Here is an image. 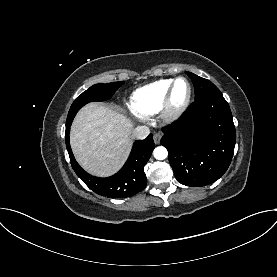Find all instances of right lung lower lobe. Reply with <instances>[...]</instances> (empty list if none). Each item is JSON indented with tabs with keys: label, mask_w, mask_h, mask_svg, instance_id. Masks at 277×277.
I'll use <instances>...</instances> for the list:
<instances>
[{
	"label": "right lung lower lobe",
	"mask_w": 277,
	"mask_h": 277,
	"mask_svg": "<svg viewBox=\"0 0 277 277\" xmlns=\"http://www.w3.org/2000/svg\"><path fill=\"white\" fill-rule=\"evenodd\" d=\"M70 125H66L65 140L71 165L78 177L95 193L111 197H131L143 191L147 185L144 166L155 147L153 135L134 143L130 156L115 175L107 178L94 177L84 171L76 162L69 143Z\"/></svg>",
	"instance_id": "obj_1"
}]
</instances>
